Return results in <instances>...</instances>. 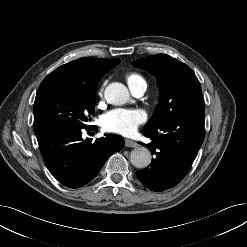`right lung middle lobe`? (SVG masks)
Here are the masks:
<instances>
[{"label": "right lung middle lobe", "mask_w": 247, "mask_h": 247, "mask_svg": "<svg viewBox=\"0 0 247 247\" xmlns=\"http://www.w3.org/2000/svg\"><path fill=\"white\" fill-rule=\"evenodd\" d=\"M96 91L61 86L38 90L34 103V125L88 128L95 110Z\"/></svg>", "instance_id": "right-lung-middle-lobe-1"}]
</instances>
